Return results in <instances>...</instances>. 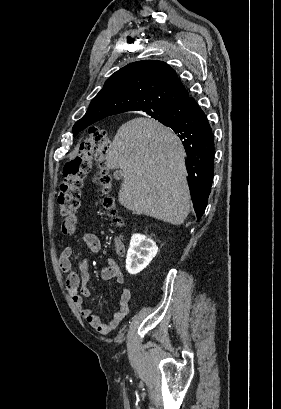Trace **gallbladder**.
I'll list each match as a JSON object with an SVG mask.
<instances>
[{"label": "gallbladder", "instance_id": "1", "mask_svg": "<svg viewBox=\"0 0 281 409\" xmlns=\"http://www.w3.org/2000/svg\"><path fill=\"white\" fill-rule=\"evenodd\" d=\"M114 176H116V178H120V176H122L121 172H119V170H116V172H114Z\"/></svg>", "mask_w": 281, "mask_h": 409}]
</instances>
